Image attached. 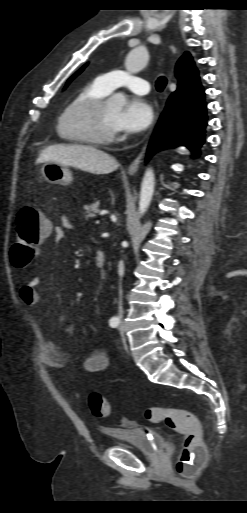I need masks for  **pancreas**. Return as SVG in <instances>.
Wrapping results in <instances>:
<instances>
[{
    "instance_id": "obj_1",
    "label": "pancreas",
    "mask_w": 247,
    "mask_h": 513,
    "mask_svg": "<svg viewBox=\"0 0 247 513\" xmlns=\"http://www.w3.org/2000/svg\"><path fill=\"white\" fill-rule=\"evenodd\" d=\"M84 210H85L84 214H85L86 219L95 217L96 214H98L100 212L99 204L95 202V203L85 205Z\"/></svg>"
}]
</instances>
